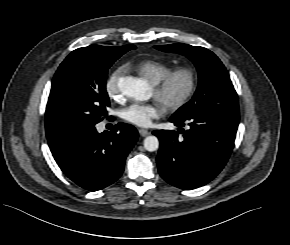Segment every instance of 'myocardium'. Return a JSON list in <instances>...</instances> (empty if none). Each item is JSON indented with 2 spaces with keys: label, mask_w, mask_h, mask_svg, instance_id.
Wrapping results in <instances>:
<instances>
[{
  "label": "myocardium",
  "mask_w": 290,
  "mask_h": 245,
  "mask_svg": "<svg viewBox=\"0 0 290 245\" xmlns=\"http://www.w3.org/2000/svg\"><path fill=\"white\" fill-rule=\"evenodd\" d=\"M178 77L186 79L185 89L179 96L170 97L168 95L169 90ZM197 85L198 75L196 71L192 68L180 67L170 70L160 81L153 84L154 95L166 109L174 111L183 107L190 100L197 89Z\"/></svg>",
  "instance_id": "f54148a6"
}]
</instances>
